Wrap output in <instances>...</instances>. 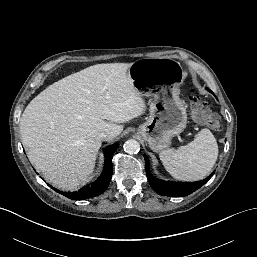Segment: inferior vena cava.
<instances>
[{
  "label": "inferior vena cava",
  "mask_w": 257,
  "mask_h": 257,
  "mask_svg": "<svg viewBox=\"0 0 257 257\" xmlns=\"http://www.w3.org/2000/svg\"><path fill=\"white\" fill-rule=\"evenodd\" d=\"M115 137H116V133L113 132V131L101 132V133L99 134V138H100L101 140H105V141H110V140H112V139L115 138Z\"/></svg>",
  "instance_id": "602c4592"
}]
</instances>
